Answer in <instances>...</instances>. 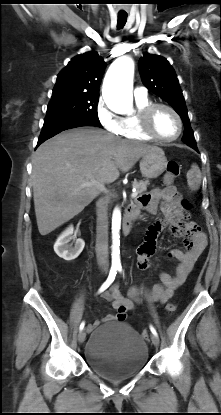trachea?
<instances>
[{
	"mask_svg": "<svg viewBox=\"0 0 221 415\" xmlns=\"http://www.w3.org/2000/svg\"><path fill=\"white\" fill-rule=\"evenodd\" d=\"M127 21V15H118V20H117V27L118 29H121L125 26Z\"/></svg>",
	"mask_w": 221,
	"mask_h": 415,
	"instance_id": "trachea-1",
	"label": "trachea"
}]
</instances>
